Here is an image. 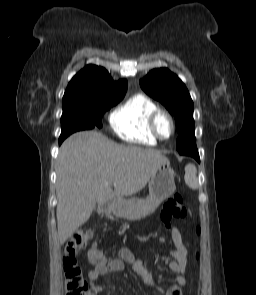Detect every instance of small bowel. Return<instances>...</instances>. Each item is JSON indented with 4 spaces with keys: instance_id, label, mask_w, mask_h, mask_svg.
<instances>
[{
    "instance_id": "small-bowel-1",
    "label": "small bowel",
    "mask_w": 256,
    "mask_h": 295,
    "mask_svg": "<svg viewBox=\"0 0 256 295\" xmlns=\"http://www.w3.org/2000/svg\"><path fill=\"white\" fill-rule=\"evenodd\" d=\"M172 238L175 244V249L171 250L169 253L172 260L169 262L168 267L170 271L176 274L175 284L173 286L167 290L155 286L152 277L146 270L143 262L135 259L133 253L128 248L122 247L118 250L116 256L111 258L108 262L105 260L103 263L95 265L94 269L88 273V280L90 283L89 295H98L102 292L103 287L95 284V281L99 276L122 271L125 263L130 264L134 272L149 287L155 288L164 295H182L181 288L186 285L185 275L187 271L188 251L182 234L176 227L172 229Z\"/></svg>"
}]
</instances>
